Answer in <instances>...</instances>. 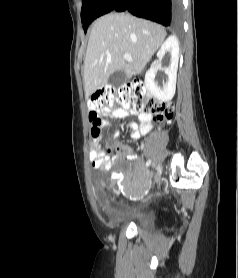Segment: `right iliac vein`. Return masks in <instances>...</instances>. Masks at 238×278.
Masks as SVG:
<instances>
[{
    "mask_svg": "<svg viewBox=\"0 0 238 278\" xmlns=\"http://www.w3.org/2000/svg\"><path fill=\"white\" fill-rule=\"evenodd\" d=\"M162 169L163 166H158V168H156V174H162Z\"/></svg>",
    "mask_w": 238,
    "mask_h": 278,
    "instance_id": "obj_1",
    "label": "right iliac vein"
}]
</instances>
